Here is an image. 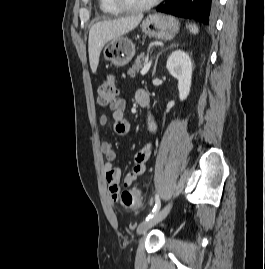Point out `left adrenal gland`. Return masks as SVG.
Masks as SVG:
<instances>
[{
    "instance_id": "left-adrenal-gland-1",
    "label": "left adrenal gland",
    "mask_w": 265,
    "mask_h": 269,
    "mask_svg": "<svg viewBox=\"0 0 265 269\" xmlns=\"http://www.w3.org/2000/svg\"><path fill=\"white\" fill-rule=\"evenodd\" d=\"M173 47H176V44H172L170 46V48H173ZM167 49V48H166ZM166 49H163L162 51H160L155 59V63H154V68H153V72H152V76L155 75V72H156V66H157V62H158V59L160 57V55L162 54L163 51H165Z\"/></svg>"
}]
</instances>
